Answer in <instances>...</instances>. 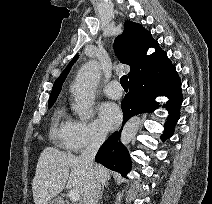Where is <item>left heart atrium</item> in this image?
I'll list each match as a JSON object with an SVG mask.
<instances>
[{"instance_id": "39dd6f15", "label": "left heart atrium", "mask_w": 212, "mask_h": 204, "mask_svg": "<svg viewBox=\"0 0 212 204\" xmlns=\"http://www.w3.org/2000/svg\"><path fill=\"white\" fill-rule=\"evenodd\" d=\"M99 117L102 125L106 129L111 130L119 125L122 119V113L117 104L106 102L99 108Z\"/></svg>"}]
</instances>
